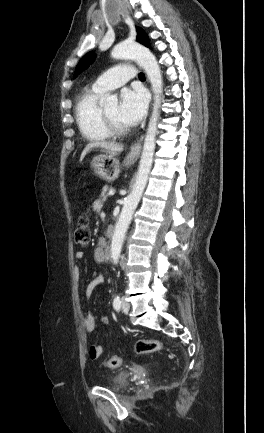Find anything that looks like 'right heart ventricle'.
Returning <instances> with one entry per match:
<instances>
[{"instance_id": "obj_1", "label": "right heart ventricle", "mask_w": 264, "mask_h": 433, "mask_svg": "<svg viewBox=\"0 0 264 433\" xmlns=\"http://www.w3.org/2000/svg\"><path fill=\"white\" fill-rule=\"evenodd\" d=\"M103 92L94 88L84 91L77 99L75 105V118L82 136L89 141H102L111 136L107 129L100 106Z\"/></svg>"}]
</instances>
